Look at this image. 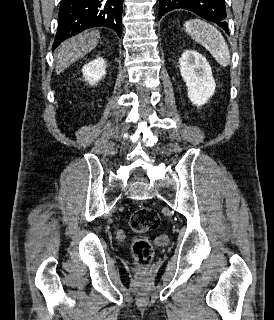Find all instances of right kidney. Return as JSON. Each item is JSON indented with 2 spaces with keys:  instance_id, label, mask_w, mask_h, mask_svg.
Instances as JSON below:
<instances>
[{
  "instance_id": "1",
  "label": "right kidney",
  "mask_w": 274,
  "mask_h": 320,
  "mask_svg": "<svg viewBox=\"0 0 274 320\" xmlns=\"http://www.w3.org/2000/svg\"><path fill=\"white\" fill-rule=\"evenodd\" d=\"M82 74L85 78V82H88L90 86H97L98 82L102 80L106 74V62L104 58H95L89 64H85L82 68Z\"/></svg>"
}]
</instances>
